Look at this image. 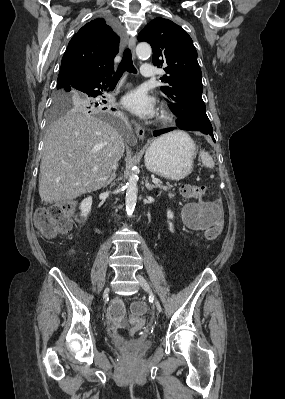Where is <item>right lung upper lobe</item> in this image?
<instances>
[{"label": "right lung upper lobe", "mask_w": 285, "mask_h": 399, "mask_svg": "<svg viewBox=\"0 0 285 399\" xmlns=\"http://www.w3.org/2000/svg\"><path fill=\"white\" fill-rule=\"evenodd\" d=\"M120 37L105 19L84 25L70 40L61 61L57 87H71L85 74L113 73Z\"/></svg>", "instance_id": "1"}]
</instances>
